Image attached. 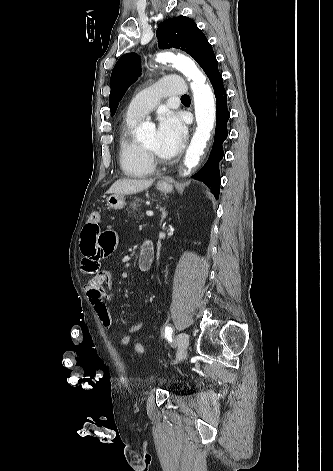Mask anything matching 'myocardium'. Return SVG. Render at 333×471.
<instances>
[{
  "instance_id": "1",
  "label": "myocardium",
  "mask_w": 333,
  "mask_h": 471,
  "mask_svg": "<svg viewBox=\"0 0 333 471\" xmlns=\"http://www.w3.org/2000/svg\"><path fill=\"white\" fill-rule=\"evenodd\" d=\"M142 147H143L144 151L146 152V154L149 156V158L151 159V161L154 164L155 163H164L166 161L165 159L160 157L156 152H154L153 150L147 148L144 144H142Z\"/></svg>"
}]
</instances>
